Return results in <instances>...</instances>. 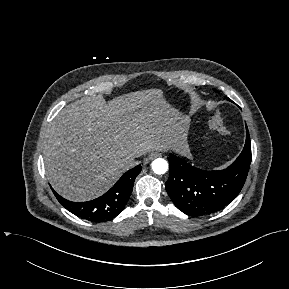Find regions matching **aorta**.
I'll return each mask as SVG.
<instances>
[{
    "instance_id": "aorta-1",
    "label": "aorta",
    "mask_w": 289,
    "mask_h": 289,
    "mask_svg": "<svg viewBox=\"0 0 289 289\" xmlns=\"http://www.w3.org/2000/svg\"><path fill=\"white\" fill-rule=\"evenodd\" d=\"M151 166H152V170L154 171V173L159 174V175L166 173L168 170V163L163 158L155 159L152 162Z\"/></svg>"
}]
</instances>
